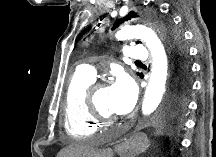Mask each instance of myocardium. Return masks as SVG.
<instances>
[{
	"instance_id": "1",
	"label": "myocardium",
	"mask_w": 216,
	"mask_h": 157,
	"mask_svg": "<svg viewBox=\"0 0 216 157\" xmlns=\"http://www.w3.org/2000/svg\"><path fill=\"white\" fill-rule=\"evenodd\" d=\"M106 86L105 81H96L93 82L88 90H87V103H88V107H89V111L92 115V117L101 124H110L112 123L114 120H116L115 117L107 115L102 113L96 102H95V95L97 93V91L101 88H104Z\"/></svg>"
}]
</instances>
